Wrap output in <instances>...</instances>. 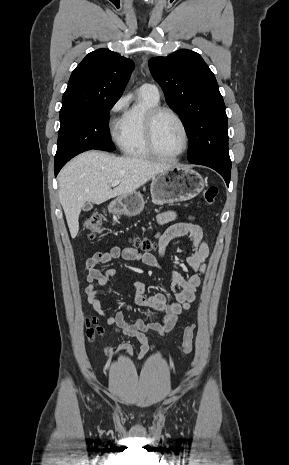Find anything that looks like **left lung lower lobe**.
<instances>
[{
    "label": "left lung lower lobe",
    "mask_w": 289,
    "mask_h": 465,
    "mask_svg": "<svg viewBox=\"0 0 289 465\" xmlns=\"http://www.w3.org/2000/svg\"><path fill=\"white\" fill-rule=\"evenodd\" d=\"M192 164H199L208 166L215 171H217L226 181L227 186H229L230 176H231V164L223 163L215 160H195L190 161Z\"/></svg>",
    "instance_id": "obj_1"
}]
</instances>
